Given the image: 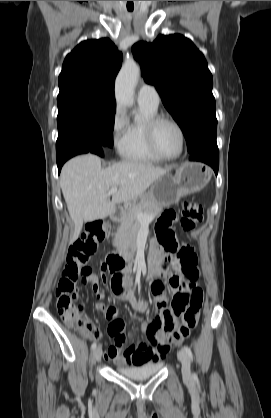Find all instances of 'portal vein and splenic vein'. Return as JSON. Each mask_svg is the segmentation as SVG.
Instances as JSON below:
<instances>
[{"instance_id":"18ae733b","label":"portal vein and splenic vein","mask_w":271,"mask_h":418,"mask_svg":"<svg viewBox=\"0 0 271 418\" xmlns=\"http://www.w3.org/2000/svg\"><path fill=\"white\" fill-rule=\"evenodd\" d=\"M117 191H118V188L113 187L108 191L107 196H110V195L116 193ZM137 218L141 223H149L153 220V217H148L147 215L142 214V213H138Z\"/></svg>"}]
</instances>
